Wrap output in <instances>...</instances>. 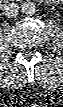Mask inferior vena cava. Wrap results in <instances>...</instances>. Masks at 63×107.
I'll return each mask as SVG.
<instances>
[{
  "mask_svg": "<svg viewBox=\"0 0 63 107\" xmlns=\"http://www.w3.org/2000/svg\"><path fill=\"white\" fill-rule=\"evenodd\" d=\"M18 12L19 6L14 2L7 3L3 7V13L8 18L17 16Z\"/></svg>",
  "mask_w": 63,
  "mask_h": 107,
  "instance_id": "602c4592",
  "label": "inferior vena cava"
}]
</instances>
